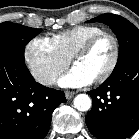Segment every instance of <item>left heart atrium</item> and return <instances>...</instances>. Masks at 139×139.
Instances as JSON below:
<instances>
[{"label":"left heart atrium","instance_id":"1","mask_svg":"<svg viewBox=\"0 0 139 139\" xmlns=\"http://www.w3.org/2000/svg\"><path fill=\"white\" fill-rule=\"evenodd\" d=\"M94 79L79 69L73 67L65 76L59 79L58 83L62 87H82L93 83Z\"/></svg>","mask_w":139,"mask_h":139}]
</instances>
